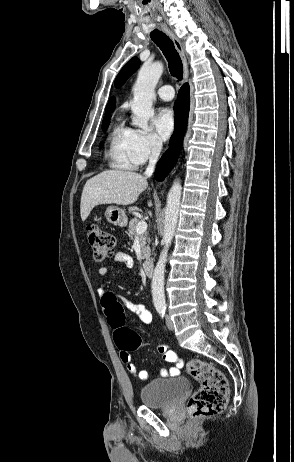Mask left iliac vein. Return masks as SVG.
I'll return each mask as SVG.
<instances>
[{"mask_svg":"<svg viewBox=\"0 0 294 462\" xmlns=\"http://www.w3.org/2000/svg\"><path fill=\"white\" fill-rule=\"evenodd\" d=\"M166 324H167V327L169 330H173L174 329V325H173V322L170 318L169 315L166 316Z\"/></svg>","mask_w":294,"mask_h":462,"instance_id":"left-iliac-vein-1","label":"left iliac vein"}]
</instances>
